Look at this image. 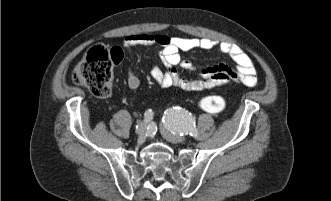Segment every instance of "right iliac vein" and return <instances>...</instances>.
<instances>
[{
  "mask_svg": "<svg viewBox=\"0 0 331 201\" xmlns=\"http://www.w3.org/2000/svg\"><path fill=\"white\" fill-rule=\"evenodd\" d=\"M135 132H136V134H138V135H144L145 132H146V126L143 125V124L139 125V126L136 128Z\"/></svg>",
  "mask_w": 331,
  "mask_h": 201,
  "instance_id": "63e3f726",
  "label": "right iliac vein"
}]
</instances>
